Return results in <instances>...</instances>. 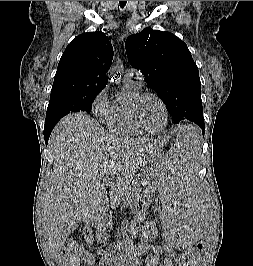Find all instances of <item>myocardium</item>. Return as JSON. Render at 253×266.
<instances>
[{
  "instance_id": "1",
  "label": "myocardium",
  "mask_w": 253,
  "mask_h": 266,
  "mask_svg": "<svg viewBox=\"0 0 253 266\" xmlns=\"http://www.w3.org/2000/svg\"><path fill=\"white\" fill-rule=\"evenodd\" d=\"M146 97L155 98L161 105L164 112V125L161 129L152 131L144 128L140 122L138 109L141 101ZM130 116L134 127L141 133L145 135H159L162 134L168 127L169 124V112L166 103L164 100L155 92L152 91H143L135 95L130 102Z\"/></svg>"
}]
</instances>
